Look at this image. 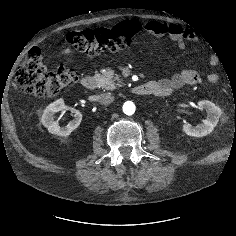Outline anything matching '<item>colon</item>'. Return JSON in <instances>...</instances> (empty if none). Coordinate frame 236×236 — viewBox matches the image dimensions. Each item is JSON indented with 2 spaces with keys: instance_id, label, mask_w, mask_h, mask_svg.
I'll use <instances>...</instances> for the list:
<instances>
[{
  "instance_id": "1",
  "label": "colon",
  "mask_w": 236,
  "mask_h": 236,
  "mask_svg": "<svg viewBox=\"0 0 236 236\" xmlns=\"http://www.w3.org/2000/svg\"><path fill=\"white\" fill-rule=\"evenodd\" d=\"M139 29L137 21L128 20L112 27L68 32L62 39L82 53L97 55L127 47ZM16 80L25 92L40 98H51L75 81L76 74L65 68L49 71L40 50L34 48L19 67Z\"/></svg>"
}]
</instances>
